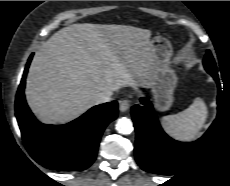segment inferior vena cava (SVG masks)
I'll list each match as a JSON object with an SVG mask.
<instances>
[{"label":"inferior vena cava","instance_id":"602c4592","mask_svg":"<svg viewBox=\"0 0 230 186\" xmlns=\"http://www.w3.org/2000/svg\"><path fill=\"white\" fill-rule=\"evenodd\" d=\"M111 95H112V93H110V92L100 93V94L95 98V102H96L97 104L109 102V101L111 100Z\"/></svg>","mask_w":230,"mask_h":186}]
</instances>
